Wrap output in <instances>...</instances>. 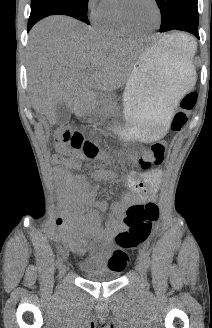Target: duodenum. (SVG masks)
Instances as JSON below:
<instances>
[{"instance_id": "obj_1", "label": "duodenum", "mask_w": 212, "mask_h": 328, "mask_svg": "<svg viewBox=\"0 0 212 328\" xmlns=\"http://www.w3.org/2000/svg\"><path fill=\"white\" fill-rule=\"evenodd\" d=\"M89 99L90 96L88 94L82 95L74 104V113L80 114Z\"/></svg>"}]
</instances>
